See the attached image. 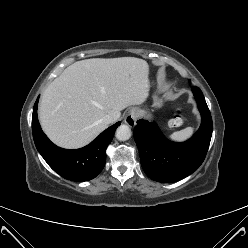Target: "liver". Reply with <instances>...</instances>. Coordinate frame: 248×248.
I'll list each match as a JSON object with an SVG mask.
<instances>
[{
  "label": "liver",
  "mask_w": 248,
  "mask_h": 248,
  "mask_svg": "<svg viewBox=\"0 0 248 248\" xmlns=\"http://www.w3.org/2000/svg\"><path fill=\"white\" fill-rule=\"evenodd\" d=\"M149 67L134 57L75 62L45 89L39 104L44 132L57 145L80 148L107 127L101 119L142 104L149 94Z\"/></svg>",
  "instance_id": "6515ba94"
}]
</instances>
